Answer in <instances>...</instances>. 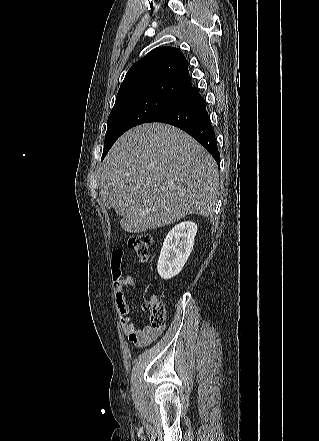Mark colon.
<instances>
[{"mask_svg":"<svg viewBox=\"0 0 319 441\" xmlns=\"http://www.w3.org/2000/svg\"><path fill=\"white\" fill-rule=\"evenodd\" d=\"M129 246L135 254L143 261H146L150 256L152 238L147 233L134 234L129 238ZM114 284L121 285L122 272L119 264L112 265ZM144 308L150 315L151 326L160 328L165 323L166 306L163 302L156 299H151L144 304Z\"/></svg>","mask_w":319,"mask_h":441,"instance_id":"1","label":"colon"}]
</instances>
